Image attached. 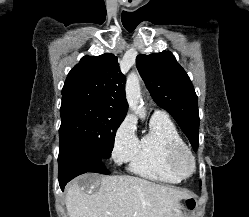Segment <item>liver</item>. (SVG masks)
<instances>
[{"label":"liver","mask_w":249,"mask_h":217,"mask_svg":"<svg viewBox=\"0 0 249 217\" xmlns=\"http://www.w3.org/2000/svg\"><path fill=\"white\" fill-rule=\"evenodd\" d=\"M82 179L93 187L86 190L78 181L69 185L65 199L69 217H177L179 200L189 197L134 176L85 175Z\"/></svg>","instance_id":"1"}]
</instances>
